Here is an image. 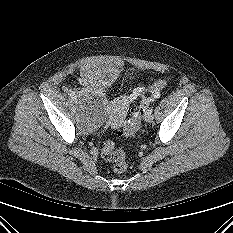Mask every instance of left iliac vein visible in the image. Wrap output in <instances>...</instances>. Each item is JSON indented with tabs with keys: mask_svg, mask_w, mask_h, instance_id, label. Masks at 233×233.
Segmentation results:
<instances>
[{
	"mask_svg": "<svg viewBox=\"0 0 233 233\" xmlns=\"http://www.w3.org/2000/svg\"><path fill=\"white\" fill-rule=\"evenodd\" d=\"M144 119L148 123L152 122L153 119H154L153 113L150 112V111H146L145 114H144Z\"/></svg>",
	"mask_w": 233,
	"mask_h": 233,
	"instance_id": "obj_1",
	"label": "left iliac vein"
}]
</instances>
